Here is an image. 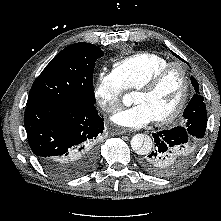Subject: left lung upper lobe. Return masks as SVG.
Listing matches in <instances>:
<instances>
[{"mask_svg":"<svg viewBox=\"0 0 221 221\" xmlns=\"http://www.w3.org/2000/svg\"><path fill=\"white\" fill-rule=\"evenodd\" d=\"M195 94L185 108L182 126L186 128L197 142H201L204 137L207 125V111L204 98L199 93V85L194 77L190 78Z\"/></svg>","mask_w":221,"mask_h":221,"instance_id":"5c2ea615","label":"left lung upper lobe"}]
</instances>
